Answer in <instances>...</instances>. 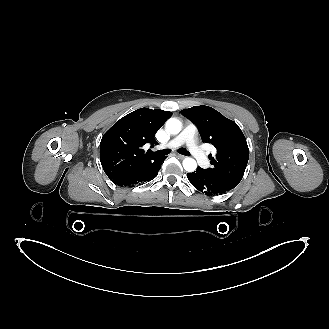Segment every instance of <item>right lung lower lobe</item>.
I'll return each mask as SVG.
<instances>
[{"mask_svg":"<svg viewBox=\"0 0 329 329\" xmlns=\"http://www.w3.org/2000/svg\"><path fill=\"white\" fill-rule=\"evenodd\" d=\"M165 158L166 157H159L154 162L144 167L138 173L114 183L121 187H134L136 185H141L147 181H150L158 174V171L161 168V164Z\"/></svg>","mask_w":329,"mask_h":329,"instance_id":"98d812e1","label":"right lung lower lobe"}]
</instances>
